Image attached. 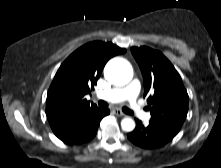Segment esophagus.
I'll return each mask as SVG.
<instances>
[{
	"mask_svg": "<svg viewBox=\"0 0 221 168\" xmlns=\"http://www.w3.org/2000/svg\"><path fill=\"white\" fill-rule=\"evenodd\" d=\"M114 113H115V115H117V116H119V117H124V116H126V114L125 113H123L121 110H119V109H115L114 110Z\"/></svg>",
	"mask_w": 221,
	"mask_h": 168,
	"instance_id": "34e87169",
	"label": "esophagus"
}]
</instances>
